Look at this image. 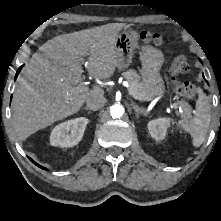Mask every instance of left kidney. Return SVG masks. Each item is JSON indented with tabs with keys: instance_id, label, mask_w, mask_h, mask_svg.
Instances as JSON below:
<instances>
[{
	"instance_id": "1",
	"label": "left kidney",
	"mask_w": 221,
	"mask_h": 221,
	"mask_svg": "<svg viewBox=\"0 0 221 221\" xmlns=\"http://www.w3.org/2000/svg\"><path fill=\"white\" fill-rule=\"evenodd\" d=\"M169 118H158L148 123V130L152 138L157 141L163 140L166 136Z\"/></svg>"
}]
</instances>
